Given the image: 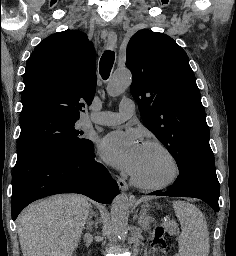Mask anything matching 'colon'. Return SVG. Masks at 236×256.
<instances>
[{
  "label": "colon",
  "mask_w": 236,
  "mask_h": 256,
  "mask_svg": "<svg viewBox=\"0 0 236 256\" xmlns=\"http://www.w3.org/2000/svg\"><path fill=\"white\" fill-rule=\"evenodd\" d=\"M152 246H153V250H154V256H166L165 235L161 229H158L155 232V234L153 236Z\"/></svg>",
  "instance_id": "5ec220e1"
}]
</instances>
